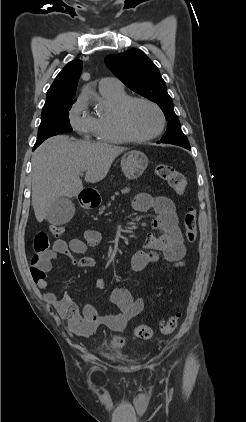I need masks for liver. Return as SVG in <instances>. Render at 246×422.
Masks as SVG:
<instances>
[{
	"instance_id": "obj_1",
	"label": "liver",
	"mask_w": 246,
	"mask_h": 422,
	"mask_svg": "<svg viewBox=\"0 0 246 422\" xmlns=\"http://www.w3.org/2000/svg\"><path fill=\"white\" fill-rule=\"evenodd\" d=\"M126 148L106 143L70 139L65 135L49 138L32 155V206L38 222H42L50 206L59 197H76L85 181L103 180L113 161Z\"/></svg>"
}]
</instances>
